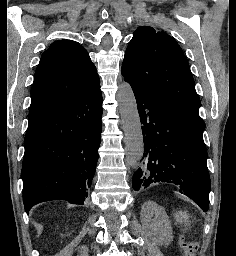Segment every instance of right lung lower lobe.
<instances>
[{"label": "right lung lower lobe", "mask_w": 236, "mask_h": 256, "mask_svg": "<svg viewBox=\"0 0 236 256\" xmlns=\"http://www.w3.org/2000/svg\"><path fill=\"white\" fill-rule=\"evenodd\" d=\"M100 85L29 124L22 166L25 211L44 201L84 204L98 160Z\"/></svg>", "instance_id": "98d812e1"}]
</instances>
